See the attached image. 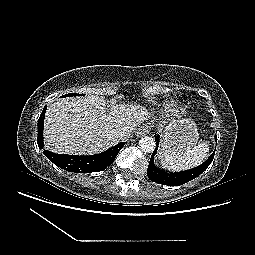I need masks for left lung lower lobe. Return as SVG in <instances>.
I'll use <instances>...</instances> for the list:
<instances>
[{"label":"left lung lower lobe","mask_w":255,"mask_h":255,"mask_svg":"<svg viewBox=\"0 0 255 255\" xmlns=\"http://www.w3.org/2000/svg\"><path fill=\"white\" fill-rule=\"evenodd\" d=\"M155 140H156V144L158 148L159 137L156 135H155ZM157 148L154 150L151 156L149 166L147 169V176L153 182H156L162 185H168V186H179L199 176L211 164L214 158V153H215L213 152L207 161H205L204 163H202L200 166L196 168L179 172V173H169L157 168L154 164V156L157 152Z\"/></svg>","instance_id":"left-lung-lower-lobe-1"}]
</instances>
